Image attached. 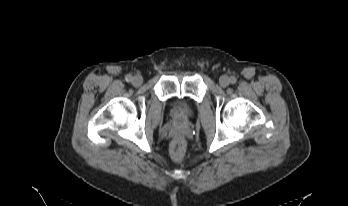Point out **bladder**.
Masks as SVG:
<instances>
[{
	"mask_svg": "<svg viewBox=\"0 0 348 206\" xmlns=\"http://www.w3.org/2000/svg\"><path fill=\"white\" fill-rule=\"evenodd\" d=\"M173 112L178 119L184 120V119H187L191 115L192 107L190 104H188L182 100L177 101L173 106Z\"/></svg>",
	"mask_w": 348,
	"mask_h": 206,
	"instance_id": "1",
	"label": "bladder"
}]
</instances>
